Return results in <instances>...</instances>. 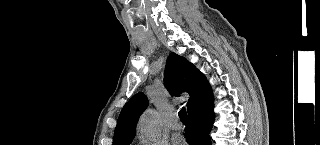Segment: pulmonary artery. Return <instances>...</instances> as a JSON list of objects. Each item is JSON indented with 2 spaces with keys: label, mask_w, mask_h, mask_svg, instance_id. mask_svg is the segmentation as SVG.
I'll list each match as a JSON object with an SVG mask.
<instances>
[{
  "label": "pulmonary artery",
  "mask_w": 320,
  "mask_h": 145,
  "mask_svg": "<svg viewBox=\"0 0 320 145\" xmlns=\"http://www.w3.org/2000/svg\"><path fill=\"white\" fill-rule=\"evenodd\" d=\"M169 127L173 130H180L182 128L181 122L178 120L177 115H173L169 121Z\"/></svg>",
  "instance_id": "pulmonary-artery-1"
}]
</instances>
